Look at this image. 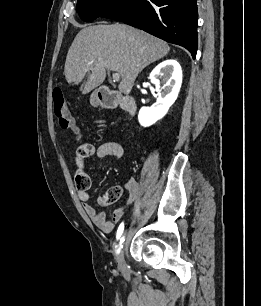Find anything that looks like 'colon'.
Returning <instances> with one entry per match:
<instances>
[{"instance_id":"obj_1","label":"colon","mask_w":261,"mask_h":306,"mask_svg":"<svg viewBox=\"0 0 261 306\" xmlns=\"http://www.w3.org/2000/svg\"><path fill=\"white\" fill-rule=\"evenodd\" d=\"M53 112L59 125L64 130H74V119L68 109L63 92L60 88L53 90ZM93 153V146L85 143L78 147L75 154V165L85 164L88 157ZM122 194V190L118 186L109 188L103 195L99 197L101 205H110L116 202Z\"/></svg>"}]
</instances>
